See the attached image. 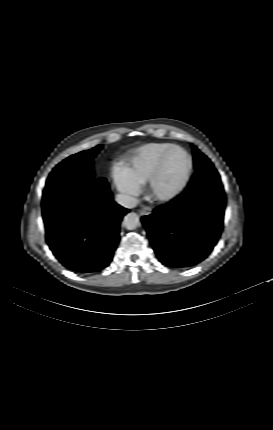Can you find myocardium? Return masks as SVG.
<instances>
[{"label":"myocardium","mask_w":273,"mask_h":430,"mask_svg":"<svg viewBox=\"0 0 273 430\" xmlns=\"http://www.w3.org/2000/svg\"><path fill=\"white\" fill-rule=\"evenodd\" d=\"M175 150L180 151L187 160V168L186 171L179 181V183L167 192H160L158 190V182L160 176L162 174L165 161L169 154ZM193 171V161L190 154L181 146L172 145L167 148L160 156L154 170L152 171L148 181H147V189L150 197L157 202H169L175 199L186 187L188 181L190 180L191 174Z\"/></svg>","instance_id":"obj_1"}]
</instances>
